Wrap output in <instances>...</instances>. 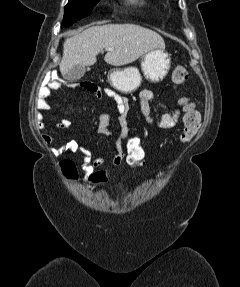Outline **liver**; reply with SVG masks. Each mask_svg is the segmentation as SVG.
<instances>
[{
	"label": "liver",
	"mask_w": 240,
	"mask_h": 287,
	"mask_svg": "<svg viewBox=\"0 0 240 287\" xmlns=\"http://www.w3.org/2000/svg\"><path fill=\"white\" fill-rule=\"evenodd\" d=\"M155 48H165L163 38L155 31L136 24L93 26L65 40L59 64L62 74L76 65L91 66L106 49V63L122 66L136 61Z\"/></svg>",
	"instance_id": "6515ba94"
}]
</instances>
